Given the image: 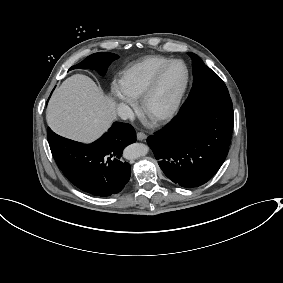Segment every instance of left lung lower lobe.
<instances>
[{"instance_id": "left-lung-lower-lobe-1", "label": "left lung lower lobe", "mask_w": 283, "mask_h": 283, "mask_svg": "<svg viewBox=\"0 0 283 283\" xmlns=\"http://www.w3.org/2000/svg\"><path fill=\"white\" fill-rule=\"evenodd\" d=\"M230 96L212 97L179 111L147 143L164 174L185 188L203 185L223 164L231 141Z\"/></svg>"}]
</instances>
